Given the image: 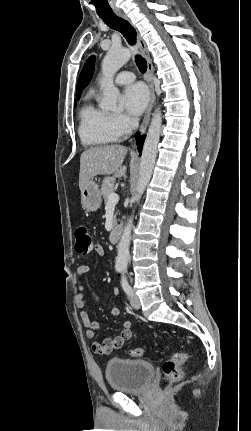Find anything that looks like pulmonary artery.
<instances>
[{"label":"pulmonary artery","mask_w":251,"mask_h":431,"mask_svg":"<svg viewBox=\"0 0 251 431\" xmlns=\"http://www.w3.org/2000/svg\"><path fill=\"white\" fill-rule=\"evenodd\" d=\"M134 79H135V75L132 72L122 71L116 75L115 82L117 84L123 85V84H129L133 82Z\"/></svg>","instance_id":"e3ab8cb5"}]
</instances>
